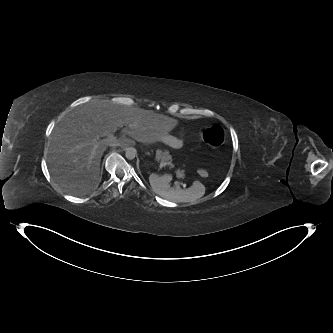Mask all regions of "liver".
<instances>
[{
	"label": "liver",
	"mask_w": 333,
	"mask_h": 333,
	"mask_svg": "<svg viewBox=\"0 0 333 333\" xmlns=\"http://www.w3.org/2000/svg\"><path fill=\"white\" fill-rule=\"evenodd\" d=\"M177 124L174 118L127 102L89 101L75 107L54 128L48 146L49 171L60 188L83 195L98 186L101 157L109 144L125 147L133 140L154 144L163 141ZM123 126V136L107 140Z\"/></svg>",
	"instance_id": "liver-1"
}]
</instances>
